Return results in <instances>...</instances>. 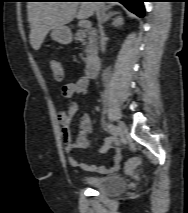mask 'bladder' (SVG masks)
<instances>
[{
    "label": "bladder",
    "instance_id": "31cf9c89",
    "mask_svg": "<svg viewBox=\"0 0 188 213\" xmlns=\"http://www.w3.org/2000/svg\"><path fill=\"white\" fill-rule=\"evenodd\" d=\"M82 184L108 196H115L125 191L127 182L120 176L90 175L81 179Z\"/></svg>",
    "mask_w": 188,
    "mask_h": 213
}]
</instances>
